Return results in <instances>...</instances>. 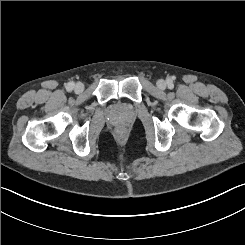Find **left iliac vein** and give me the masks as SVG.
<instances>
[{
	"instance_id": "1",
	"label": "left iliac vein",
	"mask_w": 245,
	"mask_h": 245,
	"mask_svg": "<svg viewBox=\"0 0 245 245\" xmlns=\"http://www.w3.org/2000/svg\"><path fill=\"white\" fill-rule=\"evenodd\" d=\"M157 87L159 88V89H165L166 88V82L164 81V80H159L158 82H157Z\"/></svg>"
}]
</instances>
